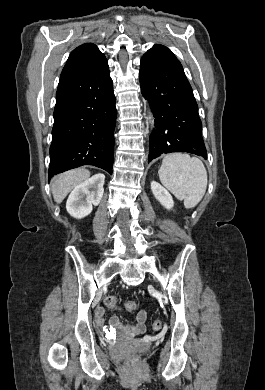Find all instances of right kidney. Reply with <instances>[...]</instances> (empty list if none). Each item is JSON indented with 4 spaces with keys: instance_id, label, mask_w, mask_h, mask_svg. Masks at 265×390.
I'll return each mask as SVG.
<instances>
[{
    "instance_id": "right-kidney-1",
    "label": "right kidney",
    "mask_w": 265,
    "mask_h": 390,
    "mask_svg": "<svg viewBox=\"0 0 265 390\" xmlns=\"http://www.w3.org/2000/svg\"><path fill=\"white\" fill-rule=\"evenodd\" d=\"M104 181L103 174H96L76 186L66 203L68 213L78 219L89 215L102 199Z\"/></svg>"
}]
</instances>
